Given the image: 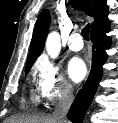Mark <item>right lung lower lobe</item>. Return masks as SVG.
<instances>
[{"label": "right lung lower lobe", "mask_w": 118, "mask_h": 123, "mask_svg": "<svg viewBox=\"0 0 118 123\" xmlns=\"http://www.w3.org/2000/svg\"><path fill=\"white\" fill-rule=\"evenodd\" d=\"M108 31L109 28L91 36V41L93 43L91 72L85 85L77 94L67 114L68 119L73 123H82L101 80L103 72L102 65L105 63L107 58L105 49H108L111 43L110 37L105 34Z\"/></svg>", "instance_id": "right-lung-lower-lobe-1"}]
</instances>
